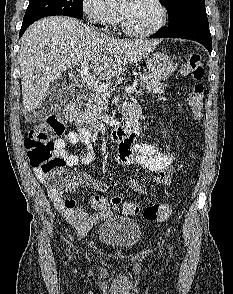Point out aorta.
Listing matches in <instances>:
<instances>
[{"label":"aorta","mask_w":233,"mask_h":294,"mask_svg":"<svg viewBox=\"0 0 233 294\" xmlns=\"http://www.w3.org/2000/svg\"><path fill=\"white\" fill-rule=\"evenodd\" d=\"M120 0H105L107 5H114L118 3Z\"/></svg>","instance_id":"obj_1"}]
</instances>
